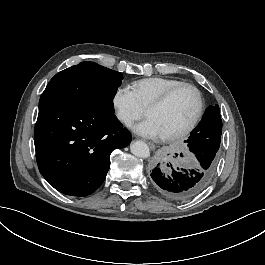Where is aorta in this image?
Instances as JSON below:
<instances>
[{
    "instance_id": "obj_1",
    "label": "aorta",
    "mask_w": 265,
    "mask_h": 265,
    "mask_svg": "<svg viewBox=\"0 0 265 265\" xmlns=\"http://www.w3.org/2000/svg\"><path fill=\"white\" fill-rule=\"evenodd\" d=\"M130 151L133 155L139 158H148L150 156V150L147 144L143 141H133L130 144Z\"/></svg>"
}]
</instances>
